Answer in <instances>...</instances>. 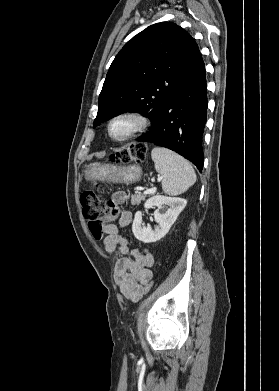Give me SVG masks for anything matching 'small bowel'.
<instances>
[{
    "instance_id": "c3829d8e",
    "label": "small bowel",
    "mask_w": 279,
    "mask_h": 391,
    "mask_svg": "<svg viewBox=\"0 0 279 391\" xmlns=\"http://www.w3.org/2000/svg\"><path fill=\"white\" fill-rule=\"evenodd\" d=\"M127 200V195L123 191H117L112 195L114 205H123ZM132 220V213L124 211L118 224L105 223L102 232L104 247L107 252L123 255L118 259L115 266V280L123 296L133 302L138 301L144 294L145 284L152 279L151 267L154 263L153 255L144 249L131 248L128 242L120 235L122 228L127 226Z\"/></svg>"
}]
</instances>
